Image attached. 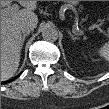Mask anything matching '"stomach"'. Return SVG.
<instances>
[{"instance_id": "obj_1", "label": "stomach", "mask_w": 109, "mask_h": 109, "mask_svg": "<svg viewBox=\"0 0 109 109\" xmlns=\"http://www.w3.org/2000/svg\"><path fill=\"white\" fill-rule=\"evenodd\" d=\"M69 8H75L80 4V1H64Z\"/></svg>"}]
</instances>
